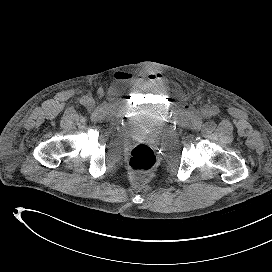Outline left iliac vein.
<instances>
[{"label":"left iliac vein","instance_id":"obj_1","mask_svg":"<svg viewBox=\"0 0 272 272\" xmlns=\"http://www.w3.org/2000/svg\"><path fill=\"white\" fill-rule=\"evenodd\" d=\"M203 115H208L209 114V110L208 109H204L203 112H202Z\"/></svg>","mask_w":272,"mask_h":272}]
</instances>
